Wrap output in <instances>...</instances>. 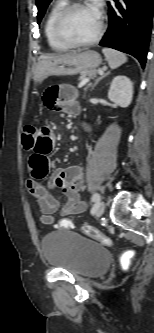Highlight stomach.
I'll return each mask as SVG.
<instances>
[{
	"label": "stomach",
	"mask_w": 154,
	"mask_h": 333,
	"mask_svg": "<svg viewBox=\"0 0 154 333\" xmlns=\"http://www.w3.org/2000/svg\"><path fill=\"white\" fill-rule=\"evenodd\" d=\"M102 63L96 51L69 53L56 58L40 60L32 70V78L41 83L50 76L76 75L83 71L94 70Z\"/></svg>",
	"instance_id": "stomach-1"
}]
</instances>
